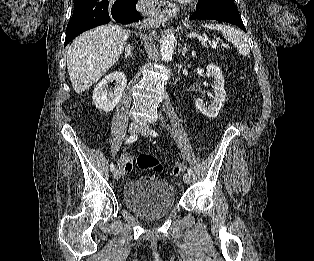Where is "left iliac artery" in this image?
I'll use <instances>...</instances> for the list:
<instances>
[{
	"label": "left iliac artery",
	"mask_w": 314,
	"mask_h": 261,
	"mask_svg": "<svg viewBox=\"0 0 314 261\" xmlns=\"http://www.w3.org/2000/svg\"><path fill=\"white\" fill-rule=\"evenodd\" d=\"M150 134L153 136V137H157L158 136V133L155 131V130H150ZM188 174L189 175H192L193 174V171H192V169L191 168H188Z\"/></svg>",
	"instance_id": "obj_1"
}]
</instances>
